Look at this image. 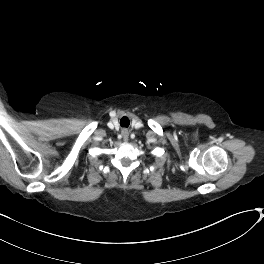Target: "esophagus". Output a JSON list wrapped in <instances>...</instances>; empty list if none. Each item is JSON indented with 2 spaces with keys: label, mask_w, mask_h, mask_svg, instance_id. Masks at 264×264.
Instances as JSON below:
<instances>
[{
  "label": "esophagus",
  "mask_w": 264,
  "mask_h": 264,
  "mask_svg": "<svg viewBox=\"0 0 264 264\" xmlns=\"http://www.w3.org/2000/svg\"><path fill=\"white\" fill-rule=\"evenodd\" d=\"M122 137H123L125 142H128L129 133H128V131L126 129H124L122 131Z\"/></svg>",
  "instance_id": "esophagus-1"
}]
</instances>
